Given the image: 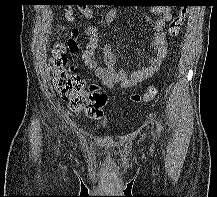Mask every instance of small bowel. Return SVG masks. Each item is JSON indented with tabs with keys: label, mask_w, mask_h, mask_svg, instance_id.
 I'll return each instance as SVG.
<instances>
[{
	"label": "small bowel",
	"mask_w": 217,
	"mask_h": 197,
	"mask_svg": "<svg viewBox=\"0 0 217 197\" xmlns=\"http://www.w3.org/2000/svg\"><path fill=\"white\" fill-rule=\"evenodd\" d=\"M80 11L85 17L94 18V15L89 8L81 7ZM151 11L153 13L161 14V17L156 20L154 24L155 34L152 40L154 55L148 62L142 63L139 67L132 70L129 75L126 74L123 69L116 68L117 56L109 46H105L103 49V63H98L96 59V53L99 46L97 29L94 26H89L86 29L87 44L81 58L86 66L97 75L106 87L111 89L118 85L124 89L132 88L151 77L159 70L160 65L167 54L164 29L166 24L170 21L172 14L170 5L168 4L155 5L151 8ZM63 14L66 21H74V12L72 8H64ZM118 15L119 13L117 10L109 12L106 17L107 23L114 22ZM77 37L78 32L73 31L72 36L68 41V47L72 55H75L78 49Z\"/></svg>",
	"instance_id": "small-bowel-1"
}]
</instances>
